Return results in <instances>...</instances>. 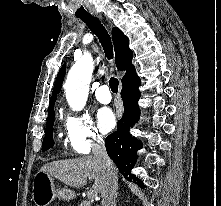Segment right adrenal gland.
<instances>
[{
  "label": "right adrenal gland",
  "instance_id": "right-adrenal-gland-1",
  "mask_svg": "<svg viewBox=\"0 0 221 206\" xmlns=\"http://www.w3.org/2000/svg\"><path fill=\"white\" fill-rule=\"evenodd\" d=\"M117 196H118V193L115 194L114 199H113V201L111 203V206H116L117 205V201H116Z\"/></svg>",
  "mask_w": 221,
  "mask_h": 206
}]
</instances>
